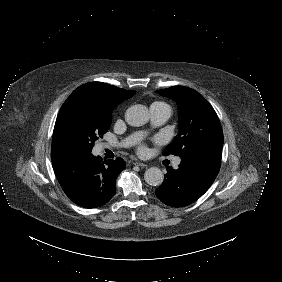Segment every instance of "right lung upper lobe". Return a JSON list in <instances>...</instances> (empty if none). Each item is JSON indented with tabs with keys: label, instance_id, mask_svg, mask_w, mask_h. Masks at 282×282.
<instances>
[{
	"label": "right lung upper lobe",
	"instance_id": "1",
	"mask_svg": "<svg viewBox=\"0 0 282 282\" xmlns=\"http://www.w3.org/2000/svg\"><path fill=\"white\" fill-rule=\"evenodd\" d=\"M135 91L124 90L113 85H109L102 82H91L81 85L70 97L81 95V96H91V95H104V94H117V95H127Z\"/></svg>",
	"mask_w": 282,
	"mask_h": 282
}]
</instances>
